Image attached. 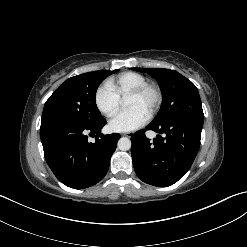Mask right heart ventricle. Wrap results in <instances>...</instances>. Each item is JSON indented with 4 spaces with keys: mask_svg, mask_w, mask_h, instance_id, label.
<instances>
[{
    "mask_svg": "<svg viewBox=\"0 0 247 247\" xmlns=\"http://www.w3.org/2000/svg\"><path fill=\"white\" fill-rule=\"evenodd\" d=\"M145 83H147V78L144 75L137 72H125L111 79L108 85L119 98H123L130 91Z\"/></svg>",
    "mask_w": 247,
    "mask_h": 247,
    "instance_id": "1",
    "label": "right heart ventricle"
}]
</instances>
